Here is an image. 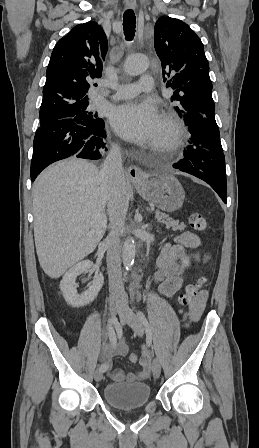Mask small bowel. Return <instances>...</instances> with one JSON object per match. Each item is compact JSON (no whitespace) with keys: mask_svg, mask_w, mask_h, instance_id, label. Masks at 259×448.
I'll list each match as a JSON object with an SVG mask.
<instances>
[{"mask_svg":"<svg viewBox=\"0 0 259 448\" xmlns=\"http://www.w3.org/2000/svg\"><path fill=\"white\" fill-rule=\"evenodd\" d=\"M201 245V240L195 234L185 232L179 235L174 243H168L164 246L157 260L158 271L155 274L160 292L171 297L177 293L182 285L183 273L182 259L191 256L195 261L206 263L209 260L208 254L200 255L192 251ZM208 292L202 291L190 307V322H195L201 317L206 302ZM128 353L127 345L123 340L116 341L114 344L105 343L102 347V359L106 360L109 367V359L114 356H125ZM141 370L136 373H129L126 376L121 370H112L109 377L115 382L126 380L128 382H140L149 378L151 372L150 356L146 350L143 351L140 358Z\"/></svg>","mask_w":259,"mask_h":448,"instance_id":"c3829d8e","label":"small bowel"}]
</instances>
